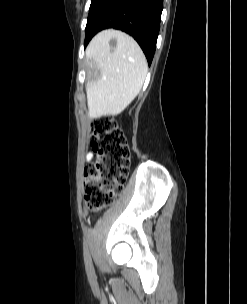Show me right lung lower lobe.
Segmentation results:
<instances>
[{"label":"right lung lower lobe","instance_id":"obj_1","mask_svg":"<svg viewBox=\"0 0 247 304\" xmlns=\"http://www.w3.org/2000/svg\"><path fill=\"white\" fill-rule=\"evenodd\" d=\"M163 0H97L87 19L84 47L99 31L120 29L141 46L150 65L159 33Z\"/></svg>","mask_w":247,"mask_h":304}]
</instances>
